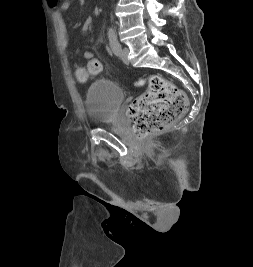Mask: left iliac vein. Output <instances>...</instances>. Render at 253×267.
<instances>
[{
    "mask_svg": "<svg viewBox=\"0 0 253 267\" xmlns=\"http://www.w3.org/2000/svg\"><path fill=\"white\" fill-rule=\"evenodd\" d=\"M128 55H129L128 48L125 47L120 50L119 56L125 63H129Z\"/></svg>",
    "mask_w": 253,
    "mask_h": 267,
    "instance_id": "left-iliac-vein-1",
    "label": "left iliac vein"
}]
</instances>
